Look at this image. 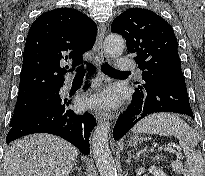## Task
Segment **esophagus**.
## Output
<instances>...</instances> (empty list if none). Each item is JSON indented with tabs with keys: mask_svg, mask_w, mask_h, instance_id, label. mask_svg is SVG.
I'll return each instance as SVG.
<instances>
[{
	"mask_svg": "<svg viewBox=\"0 0 205 176\" xmlns=\"http://www.w3.org/2000/svg\"><path fill=\"white\" fill-rule=\"evenodd\" d=\"M105 31H106L105 26L100 25L98 28L96 49H95L97 58H98V67H101L103 64L109 61L108 56L106 55L104 47H103ZM95 118L98 122L113 119V117L109 113L101 111V110L96 111Z\"/></svg>",
	"mask_w": 205,
	"mask_h": 176,
	"instance_id": "esophagus-1",
	"label": "esophagus"
}]
</instances>
